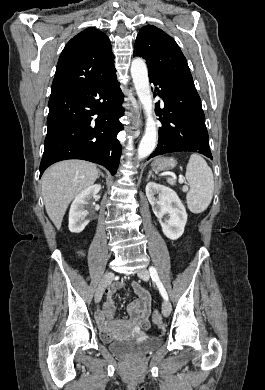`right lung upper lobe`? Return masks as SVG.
Returning a JSON list of instances; mask_svg holds the SVG:
<instances>
[{
  "label": "right lung upper lobe",
  "instance_id": "cb5924a9",
  "mask_svg": "<svg viewBox=\"0 0 265 390\" xmlns=\"http://www.w3.org/2000/svg\"><path fill=\"white\" fill-rule=\"evenodd\" d=\"M114 68L109 38L95 28H87L73 37L63 49L51 95L83 86Z\"/></svg>",
  "mask_w": 265,
  "mask_h": 390
}]
</instances>
